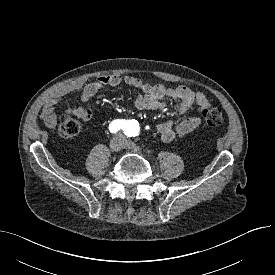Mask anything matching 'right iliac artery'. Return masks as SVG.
<instances>
[{"mask_svg": "<svg viewBox=\"0 0 275 275\" xmlns=\"http://www.w3.org/2000/svg\"><path fill=\"white\" fill-rule=\"evenodd\" d=\"M125 126H126V122L125 120H120V119H117V120H114L110 123L109 125V130L110 132L112 133H116L118 132L119 130H124L125 129Z\"/></svg>", "mask_w": 275, "mask_h": 275, "instance_id": "obj_1", "label": "right iliac artery"}]
</instances>
